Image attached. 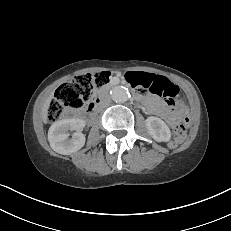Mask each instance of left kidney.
Returning a JSON list of instances; mask_svg holds the SVG:
<instances>
[{"label":"left kidney","mask_w":231,"mask_h":231,"mask_svg":"<svg viewBox=\"0 0 231 231\" xmlns=\"http://www.w3.org/2000/svg\"><path fill=\"white\" fill-rule=\"evenodd\" d=\"M146 128L150 136L157 142H168L171 139L169 127L158 117H148L146 119Z\"/></svg>","instance_id":"left-kidney-1"}]
</instances>
